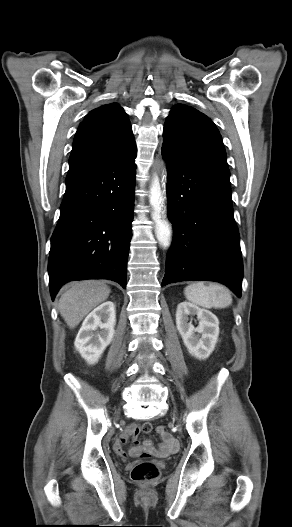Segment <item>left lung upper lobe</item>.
I'll use <instances>...</instances> for the list:
<instances>
[{"label": "left lung upper lobe", "instance_id": "1", "mask_svg": "<svg viewBox=\"0 0 292 527\" xmlns=\"http://www.w3.org/2000/svg\"><path fill=\"white\" fill-rule=\"evenodd\" d=\"M163 137V147L179 156L228 168L218 129L210 118L192 107L177 104L171 109Z\"/></svg>", "mask_w": 292, "mask_h": 527}]
</instances>
